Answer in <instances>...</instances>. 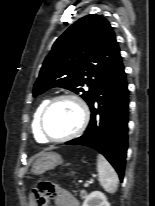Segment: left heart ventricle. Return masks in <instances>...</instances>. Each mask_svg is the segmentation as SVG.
<instances>
[{
  "label": "left heart ventricle",
  "mask_w": 155,
  "mask_h": 206,
  "mask_svg": "<svg viewBox=\"0 0 155 206\" xmlns=\"http://www.w3.org/2000/svg\"><path fill=\"white\" fill-rule=\"evenodd\" d=\"M80 123V111L71 100H63L51 107L44 120L45 132L53 138L73 132Z\"/></svg>",
  "instance_id": "left-heart-ventricle-1"
}]
</instances>
